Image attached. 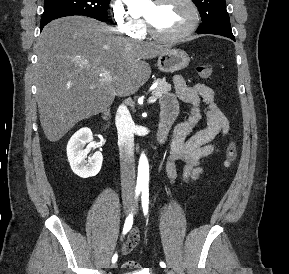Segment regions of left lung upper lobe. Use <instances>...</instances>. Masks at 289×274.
Instances as JSON below:
<instances>
[{
    "label": "left lung upper lobe",
    "mask_w": 289,
    "mask_h": 274,
    "mask_svg": "<svg viewBox=\"0 0 289 274\" xmlns=\"http://www.w3.org/2000/svg\"><path fill=\"white\" fill-rule=\"evenodd\" d=\"M202 18L198 34L233 35L225 0H193Z\"/></svg>",
    "instance_id": "obj_1"
}]
</instances>
